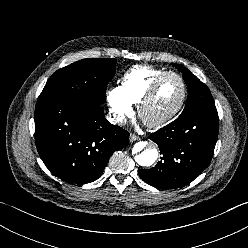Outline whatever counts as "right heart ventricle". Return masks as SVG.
<instances>
[{
	"label": "right heart ventricle",
	"instance_id": "e07e8e85",
	"mask_svg": "<svg viewBox=\"0 0 248 248\" xmlns=\"http://www.w3.org/2000/svg\"><path fill=\"white\" fill-rule=\"evenodd\" d=\"M164 72L152 66H134L124 74L120 87L132 104H139L151 83Z\"/></svg>",
	"mask_w": 248,
	"mask_h": 248
}]
</instances>
